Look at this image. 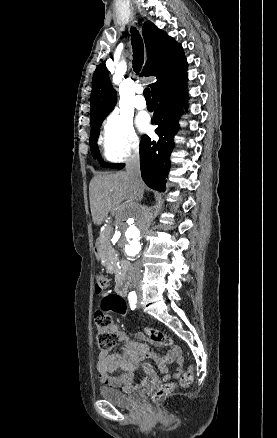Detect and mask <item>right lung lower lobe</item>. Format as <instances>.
I'll return each instance as SVG.
<instances>
[{
  "mask_svg": "<svg viewBox=\"0 0 277 438\" xmlns=\"http://www.w3.org/2000/svg\"><path fill=\"white\" fill-rule=\"evenodd\" d=\"M187 81L186 70L160 84L152 92L155 108L154 123L158 141L144 135L140 142V166L144 182L152 189L164 192L166 177L170 167V154L174 147L173 137L178 130V120L182 112L183 100L187 94L181 91ZM124 165H118L121 169Z\"/></svg>",
  "mask_w": 277,
  "mask_h": 438,
  "instance_id": "98d812e1",
  "label": "right lung lower lobe"
}]
</instances>
